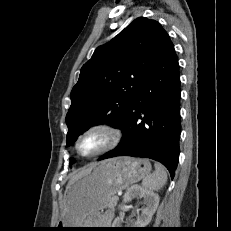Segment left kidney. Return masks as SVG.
Instances as JSON below:
<instances>
[{"label": "left kidney", "instance_id": "5707ae66", "mask_svg": "<svg viewBox=\"0 0 231 231\" xmlns=\"http://www.w3.org/2000/svg\"><path fill=\"white\" fill-rule=\"evenodd\" d=\"M133 198H143L146 207L142 209V213L138 216L136 222L133 224L134 228H144L150 223L153 214L155 213L158 204L159 196L158 194L141 188L140 186H132L124 195L123 202H130ZM122 209V206H120ZM121 224V219L116 218L113 222V227L118 228Z\"/></svg>", "mask_w": 231, "mask_h": 231}]
</instances>
